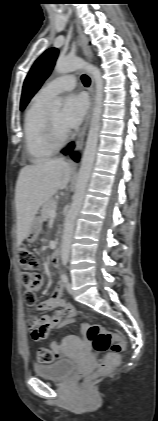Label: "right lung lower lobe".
Listing matches in <instances>:
<instances>
[{
	"label": "right lung lower lobe",
	"instance_id": "1",
	"mask_svg": "<svg viewBox=\"0 0 158 421\" xmlns=\"http://www.w3.org/2000/svg\"><path fill=\"white\" fill-rule=\"evenodd\" d=\"M75 161H77L78 160V158H79V156H78V154H76V153H74V154H72V156H71Z\"/></svg>",
	"mask_w": 158,
	"mask_h": 421
}]
</instances>
